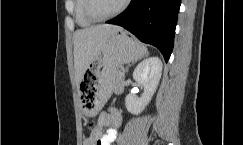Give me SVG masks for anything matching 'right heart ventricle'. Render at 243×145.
Instances as JSON below:
<instances>
[{
	"label": "right heart ventricle",
	"instance_id": "right-heart-ventricle-1",
	"mask_svg": "<svg viewBox=\"0 0 243 145\" xmlns=\"http://www.w3.org/2000/svg\"><path fill=\"white\" fill-rule=\"evenodd\" d=\"M85 0H75V20L80 27H90L94 22L89 20L84 11Z\"/></svg>",
	"mask_w": 243,
	"mask_h": 145
}]
</instances>
